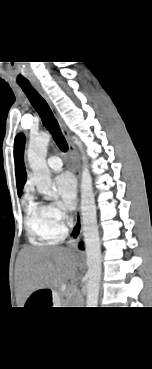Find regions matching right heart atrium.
Wrapping results in <instances>:
<instances>
[{"label":"right heart atrium","instance_id":"d8ad5b80","mask_svg":"<svg viewBox=\"0 0 152 369\" xmlns=\"http://www.w3.org/2000/svg\"><path fill=\"white\" fill-rule=\"evenodd\" d=\"M42 206L53 229L58 233H63L65 231L66 221L64 211L55 202H47Z\"/></svg>","mask_w":152,"mask_h":369}]
</instances>
